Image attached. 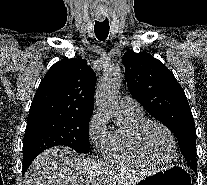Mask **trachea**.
Instances as JSON below:
<instances>
[{"label":"trachea","mask_w":207,"mask_h":185,"mask_svg":"<svg viewBox=\"0 0 207 185\" xmlns=\"http://www.w3.org/2000/svg\"><path fill=\"white\" fill-rule=\"evenodd\" d=\"M95 35L98 40L104 41L106 40L109 33V22L108 20L104 21H96L94 27Z\"/></svg>","instance_id":"3493384b"}]
</instances>
